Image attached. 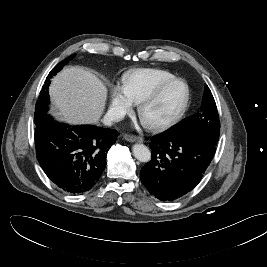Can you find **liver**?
I'll use <instances>...</instances> for the list:
<instances>
[{"label": "liver", "mask_w": 267, "mask_h": 267, "mask_svg": "<svg viewBox=\"0 0 267 267\" xmlns=\"http://www.w3.org/2000/svg\"><path fill=\"white\" fill-rule=\"evenodd\" d=\"M53 114L72 124H95L102 116L107 88L94 74L80 67L63 69L52 80Z\"/></svg>", "instance_id": "1"}]
</instances>
